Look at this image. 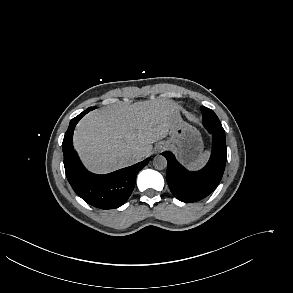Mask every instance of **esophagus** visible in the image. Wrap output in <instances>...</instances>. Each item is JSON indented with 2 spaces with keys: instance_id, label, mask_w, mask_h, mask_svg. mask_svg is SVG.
Segmentation results:
<instances>
[{
  "instance_id": "obj_1",
  "label": "esophagus",
  "mask_w": 293,
  "mask_h": 293,
  "mask_svg": "<svg viewBox=\"0 0 293 293\" xmlns=\"http://www.w3.org/2000/svg\"><path fill=\"white\" fill-rule=\"evenodd\" d=\"M163 149H165V147H164V146L161 148V150H163Z\"/></svg>"
}]
</instances>
